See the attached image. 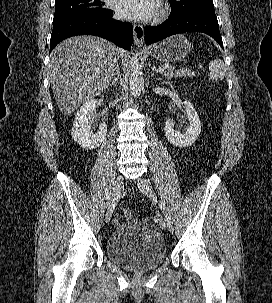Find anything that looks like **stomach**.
I'll use <instances>...</instances> for the list:
<instances>
[{
    "mask_svg": "<svg viewBox=\"0 0 272 303\" xmlns=\"http://www.w3.org/2000/svg\"><path fill=\"white\" fill-rule=\"evenodd\" d=\"M191 50V44L184 35L169 37L151 50V56L163 62H173L185 58Z\"/></svg>",
    "mask_w": 272,
    "mask_h": 303,
    "instance_id": "0dacf381",
    "label": "stomach"
}]
</instances>
